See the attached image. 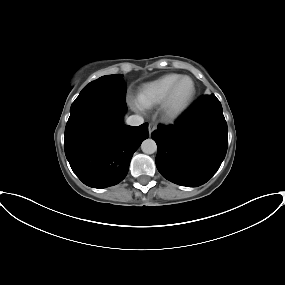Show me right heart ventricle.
I'll return each mask as SVG.
<instances>
[{"label": "right heart ventricle", "mask_w": 285, "mask_h": 285, "mask_svg": "<svg viewBox=\"0 0 285 285\" xmlns=\"http://www.w3.org/2000/svg\"><path fill=\"white\" fill-rule=\"evenodd\" d=\"M181 74L171 73L143 84L136 95L137 104L142 108H152L162 103L172 85Z\"/></svg>", "instance_id": "e07e8e85"}]
</instances>
